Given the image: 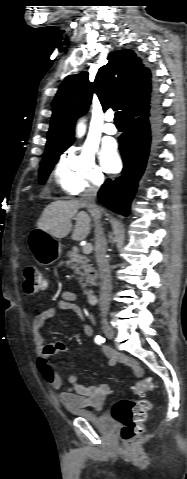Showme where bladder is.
<instances>
[{
  "label": "bladder",
  "mask_w": 187,
  "mask_h": 479,
  "mask_svg": "<svg viewBox=\"0 0 187 479\" xmlns=\"http://www.w3.org/2000/svg\"><path fill=\"white\" fill-rule=\"evenodd\" d=\"M76 414L79 417L87 419L102 433H110L115 428V423L111 418L95 415L91 412L84 410H77Z\"/></svg>",
  "instance_id": "bladder-1"
}]
</instances>
